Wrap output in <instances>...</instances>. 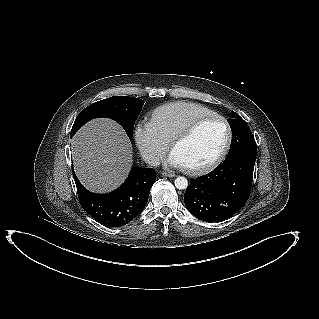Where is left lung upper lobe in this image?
<instances>
[{"instance_id":"1","label":"left lung upper lobe","mask_w":319,"mask_h":319,"mask_svg":"<svg viewBox=\"0 0 319 319\" xmlns=\"http://www.w3.org/2000/svg\"><path fill=\"white\" fill-rule=\"evenodd\" d=\"M228 122L232 130V141L227 157L241 153L257 154V146L252 132L241 117L232 111Z\"/></svg>"}]
</instances>
